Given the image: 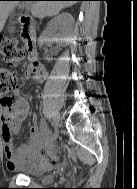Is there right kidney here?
<instances>
[{"mask_svg": "<svg viewBox=\"0 0 137 189\" xmlns=\"http://www.w3.org/2000/svg\"><path fill=\"white\" fill-rule=\"evenodd\" d=\"M73 22V18L69 13H62L58 15L57 17L53 18L46 30L43 32V34L40 36L38 40V44L40 47L43 46V43L49 39L52 38L56 31L59 29H63L66 27L71 26ZM58 44L64 45L68 42V39L65 37H61L56 40Z\"/></svg>", "mask_w": 137, "mask_h": 189, "instance_id": "obj_1", "label": "right kidney"}]
</instances>
